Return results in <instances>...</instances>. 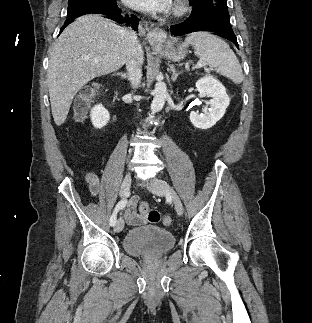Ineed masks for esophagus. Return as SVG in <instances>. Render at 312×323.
I'll list each match as a JSON object with an SVG mask.
<instances>
[{
	"instance_id": "esophagus-1",
	"label": "esophagus",
	"mask_w": 312,
	"mask_h": 323,
	"mask_svg": "<svg viewBox=\"0 0 312 323\" xmlns=\"http://www.w3.org/2000/svg\"><path fill=\"white\" fill-rule=\"evenodd\" d=\"M142 30V27H140ZM143 31V30H142ZM144 32V31H143ZM146 39L153 48H158L167 39V34L163 30H148Z\"/></svg>"
}]
</instances>
